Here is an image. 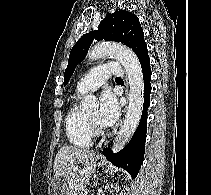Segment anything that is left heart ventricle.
Instances as JSON below:
<instances>
[{
	"label": "left heart ventricle",
	"instance_id": "1",
	"mask_svg": "<svg viewBox=\"0 0 211 195\" xmlns=\"http://www.w3.org/2000/svg\"><path fill=\"white\" fill-rule=\"evenodd\" d=\"M90 117L94 118L95 120L98 119V111H95L93 113L90 114Z\"/></svg>",
	"mask_w": 211,
	"mask_h": 195
}]
</instances>
